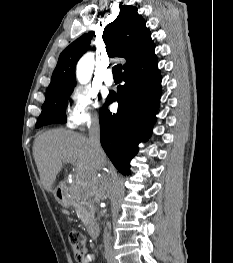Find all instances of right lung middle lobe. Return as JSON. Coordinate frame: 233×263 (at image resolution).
Wrapping results in <instances>:
<instances>
[{"mask_svg": "<svg viewBox=\"0 0 233 263\" xmlns=\"http://www.w3.org/2000/svg\"><path fill=\"white\" fill-rule=\"evenodd\" d=\"M71 93L72 89H63L46 96L36 128L50 123H64L66 121L65 107Z\"/></svg>", "mask_w": 233, "mask_h": 263, "instance_id": "dd1d6c3e", "label": "right lung middle lobe"}]
</instances>
